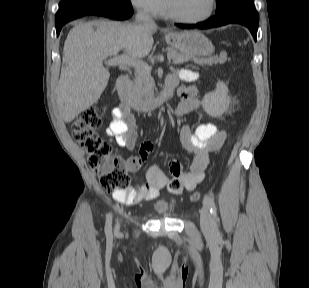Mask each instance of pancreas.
Masks as SVG:
<instances>
[{"instance_id":"1","label":"pancreas","mask_w":309,"mask_h":288,"mask_svg":"<svg viewBox=\"0 0 309 288\" xmlns=\"http://www.w3.org/2000/svg\"><path fill=\"white\" fill-rule=\"evenodd\" d=\"M168 58L175 64L185 63L194 60L199 65H217L223 64L227 61V54L221 53L219 56H209L202 58H194L189 55L179 53L175 49L167 48ZM133 98L136 102H142L145 99L153 97L154 95V81L151 77L150 70L137 69L134 73V79L130 85Z\"/></svg>"}]
</instances>
